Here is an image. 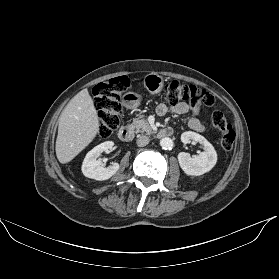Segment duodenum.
Returning a JSON list of instances; mask_svg holds the SVG:
<instances>
[{
	"label": "duodenum",
	"instance_id": "obj_1",
	"mask_svg": "<svg viewBox=\"0 0 279 279\" xmlns=\"http://www.w3.org/2000/svg\"><path fill=\"white\" fill-rule=\"evenodd\" d=\"M173 133L174 132H173L172 128L166 127V128L161 129L158 132L157 137L159 139L168 138V137H171L173 135ZM118 137L123 142H129L133 138V131L131 130L130 127L123 126L118 130Z\"/></svg>",
	"mask_w": 279,
	"mask_h": 279
}]
</instances>
